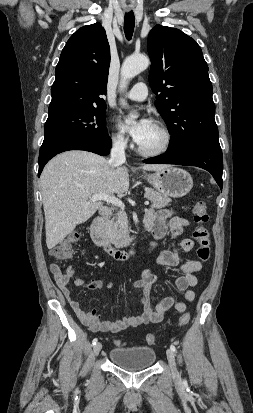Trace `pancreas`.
<instances>
[{"mask_svg": "<svg viewBox=\"0 0 253 413\" xmlns=\"http://www.w3.org/2000/svg\"><path fill=\"white\" fill-rule=\"evenodd\" d=\"M145 197L152 202V208L161 209L169 206L171 198L151 188H145ZM105 231L111 243L120 248L127 244L129 238L128 217L126 212L120 210L115 217L105 223Z\"/></svg>", "mask_w": 253, "mask_h": 413, "instance_id": "pancreas-1", "label": "pancreas"}]
</instances>
